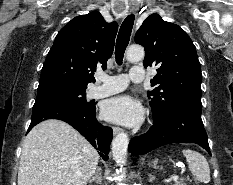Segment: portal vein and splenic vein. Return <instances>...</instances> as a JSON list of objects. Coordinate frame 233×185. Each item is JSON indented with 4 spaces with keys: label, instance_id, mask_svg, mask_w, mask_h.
<instances>
[{
    "label": "portal vein and splenic vein",
    "instance_id": "18ae733b",
    "mask_svg": "<svg viewBox=\"0 0 233 185\" xmlns=\"http://www.w3.org/2000/svg\"><path fill=\"white\" fill-rule=\"evenodd\" d=\"M178 178L179 177L176 174H174V175L171 176V179L174 180V181L178 180Z\"/></svg>",
    "mask_w": 233,
    "mask_h": 185
}]
</instances>
